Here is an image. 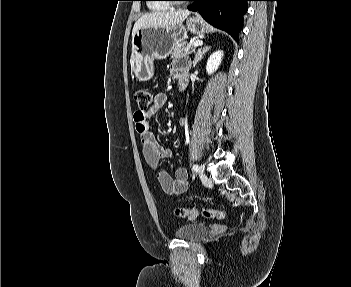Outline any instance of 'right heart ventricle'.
Segmentation results:
<instances>
[{"mask_svg":"<svg viewBox=\"0 0 351 287\" xmlns=\"http://www.w3.org/2000/svg\"><path fill=\"white\" fill-rule=\"evenodd\" d=\"M151 2L148 6L152 11H161V10H165L167 8V6L161 2H159L158 0H151Z\"/></svg>","mask_w":351,"mask_h":287,"instance_id":"1","label":"right heart ventricle"}]
</instances>
